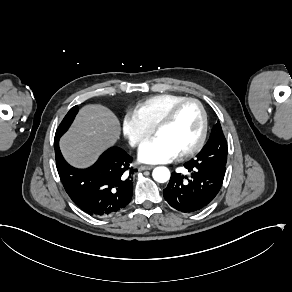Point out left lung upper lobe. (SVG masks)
<instances>
[{"mask_svg": "<svg viewBox=\"0 0 292 292\" xmlns=\"http://www.w3.org/2000/svg\"><path fill=\"white\" fill-rule=\"evenodd\" d=\"M192 160L201 163L205 168H225L227 142L219 121L214 125L206 145Z\"/></svg>", "mask_w": 292, "mask_h": 292, "instance_id": "left-lung-upper-lobe-1", "label": "left lung upper lobe"}]
</instances>
